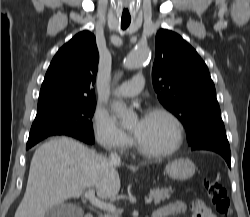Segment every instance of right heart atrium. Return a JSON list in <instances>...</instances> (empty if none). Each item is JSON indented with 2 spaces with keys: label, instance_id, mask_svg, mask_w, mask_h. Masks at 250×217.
<instances>
[{
  "label": "right heart atrium",
  "instance_id": "1",
  "mask_svg": "<svg viewBox=\"0 0 250 217\" xmlns=\"http://www.w3.org/2000/svg\"><path fill=\"white\" fill-rule=\"evenodd\" d=\"M93 134L99 145L108 150L126 152L132 145L130 136L103 110L94 113Z\"/></svg>",
  "mask_w": 250,
  "mask_h": 217
}]
</instances>
